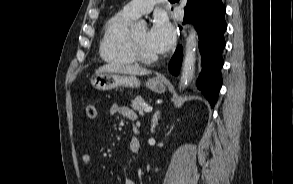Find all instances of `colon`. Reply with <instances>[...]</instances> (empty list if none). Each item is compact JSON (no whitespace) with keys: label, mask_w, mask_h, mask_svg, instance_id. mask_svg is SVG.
I'll list each match as a JSON object with an SVG mask.
<instances>
[{"label":"colon","mask_w":293,"mask_h":184,"mask_svg":"<svg viewBox=\"0 0 293 184\" xmlns=\"http://www.w3.org/2000/svg\"><path fill=\"white\" fill-rule=\"evenodd\" d=\"M86 115L90 120H93L97 116V109L93 103H89L86 106Z\"/></svg>","instance_id":"colon-1"}]
</instances>
